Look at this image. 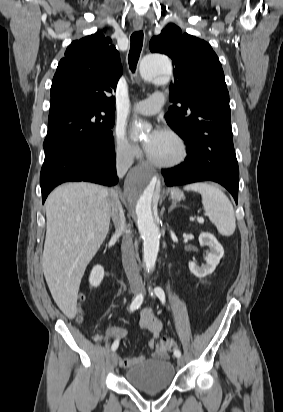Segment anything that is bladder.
Instances as JSON below:
<instances>
[{"label":"bladder","instance_id":"obj_1","mask_svg":"<svg viewBox=\"0 0 283 412\" xmlns=\"http://www.w3.org/2000/svg\"><path fill=\"white\" fill-rule=\"evenodd\" d=\"M176 376L175 368L169 360L141 362L125 372L126 382L142 392H161L172 386Z\"/></svg>","mask_w":283,"mask_h":412}]
</instances>
